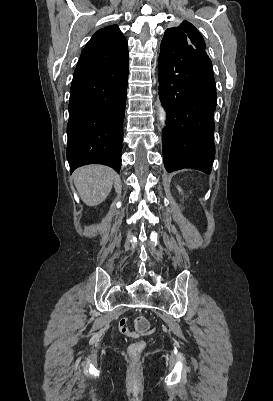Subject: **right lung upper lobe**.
I'll return each mask as SVG.
<instances>
[{"label":"right lung upper lobe","instance_id":"obj_1","mask_svg":"<svg viewBox=\"0 0 273 401\" xmlns=\"http://www.w3.org/2000/svg\"><path fill=\"white\" fill-rule=\"evenodd\" d=\"M129 58L127 41L116 25L98 30L83 49L72 84L99 75Z\"/></svg>","mask_w":273,"mask_h":401}]
</instances>
